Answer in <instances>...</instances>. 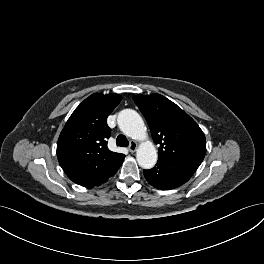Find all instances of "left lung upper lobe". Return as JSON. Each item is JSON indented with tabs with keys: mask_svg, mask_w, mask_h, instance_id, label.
Here are the masks:
<instances>
[{
	"mask_svg": "<svg viewBox=\"0 0 264 264\" xmlns=\"http://www.w3.org/2000/svg\"><path fill=\"white\" fill-rule=\"evenodd\" d=\"M133 99L148 122L154 142L159 144L158 159L196 170L206 153L205 136L197 123L160 94L136 95Z\"/></svg>",
	"mask_w": 264,
	"mask_h": 264,
	"instance_id": "5c2ea615",
	"label": "left lung upper lobe"
}]
</instances>
